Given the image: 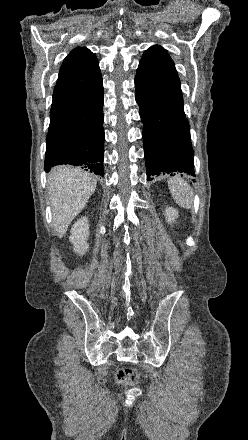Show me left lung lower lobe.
<instances>
[{"label": "left lung lower lobe", "mask_w": 248, "mask_h": 440, "mask_svg": "<svg viewBox=\"0 0 248 440\" xmlns=\"http://www.w3.org/2000/svg\"><path fill=\"white\" fill-rule=\"evenodd\" d=\"M136 101L143 121L144 155L149 176L174 172L195 176L190 126L183 98L165 87L135 77Z\"/></svg>", "instance_id": "0a47b994"}]
</instances>
